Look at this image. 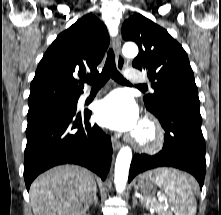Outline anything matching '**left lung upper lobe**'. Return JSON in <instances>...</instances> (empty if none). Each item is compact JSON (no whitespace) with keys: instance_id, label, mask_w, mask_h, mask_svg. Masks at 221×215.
Listing matches in <instances>:
<instances>
[{"instance_id":"obj_1","label":"left lung upper lobe","mask_w":221,"mask_h":215,"mask_svg":"<svg viewBox=\"0 0 221 215\" xmlns=\"http://www.w3.org/2000/svg\"><path fill=\"white\" fill-rule=\"evenodd\" d=\"M122 37L137 43L140 51L133 67L147 71L155 90L154 94L144 97L149 111H157L159 104L168 99L200 106L187 54L164 28L136 13L123 23Z\"/></svg>"}]
</instances>
